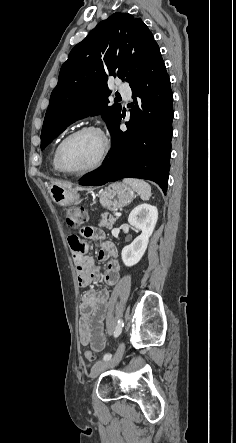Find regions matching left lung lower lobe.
Masks as SVG:
<instances>
[{
	"label": "left lung lower lobe",
	"mask_w": 236,
	"mask_h": 443,
	"mask_svg": "<svg viewBox=\"0 0 236 443\" xmlns=\"http://www.w3.org/2000/svg\"><path fill=\"white\" fill-rule=\"evenodd\" d=\"M134 98L127 131L119 130L122 118L110 129L111 151L98 170L87 173L79 183L103 185L122 178L156 182L167 191L170 168L173 94L158 45H155L138 77L130 82ZM137 97V98H136ZM141 103V104H138Z\"/></svg>",
	"instance_id": "1"
}]
</instances>
